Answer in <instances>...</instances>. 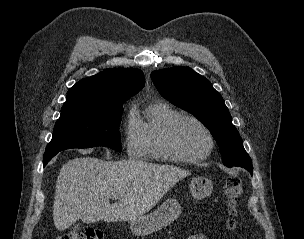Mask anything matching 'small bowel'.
<instances>
[{
  "instance_id": "small-bowel-1",
  "label": "small bowel",
  "mask_w": 304,
  "mask_h": 239,
  "mask_svg": "<svg viewBox=\"0 0 304 239\" xmlns=\"http://www.w3.org/2000/svg\"><path fill=\"white\" fill-rule=\"evenodd\" d=\"M187 239H206V237L202 233H196L189 236Z\"/></svg>"
}]
</instances>
